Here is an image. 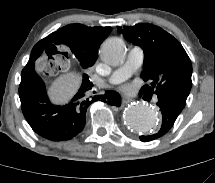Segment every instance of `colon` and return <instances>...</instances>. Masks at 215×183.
Wrapping results in <instances>:
<instances>
[{"mask_svg": "<svg viewBox=\"0 0 215 183\" xmlns=\"http://www.w3.org/2000/svg\"><path fill=\"white\" fill-rule=\"evenodd\" d=\"M71 60V49L63 41H54L45 46L32 62V71L40 79H49L56 72L66 70Z\"/></svg>", "mask_w": 215, "mask_h": 183, "instance_id": "obj_1", "label": "colon"}]
</instances>
